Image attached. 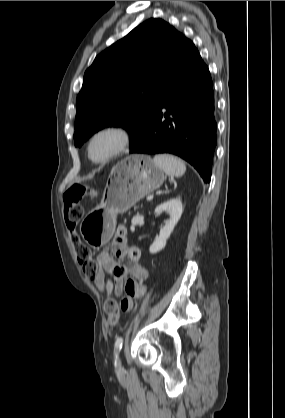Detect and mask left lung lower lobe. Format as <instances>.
I'll return each instance as SVG.
<instances>
[{
  "label": "left lung lower lobe",
  "instance_id": "left-lung-lower-lobe-1",
  "mask_svg": "<svg viewBox=\"0 0 285 418\" xmlns=\"http://www.w3.org/2000/svg\"><path fill=\"white\" fill-rule=\"evenodd\" d=\"M215 97L207 65L184 37L180 54L159 93L153 114L131 153H171L211 179L217 144Z\"/></svg>",
  "mask_w": 285,
  "mask_h": 418
}]
</instances>
